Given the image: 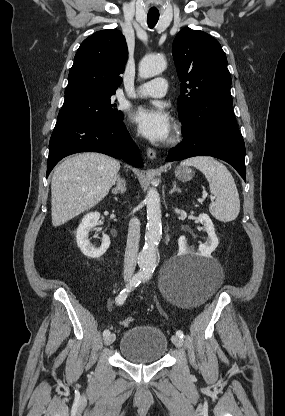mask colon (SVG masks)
I'll return each mask as SVG.
<instances>
[{
    "instance_id": "5ec220e1",
    "label": "colon",
    "mask_w": 285,
    "mask_h": 416,
    "mask_svg": "<svg viewBox=\"0 0 285 416\" xmlns=\"http://www.w3.org/2000/svg\"><path fill=\"white\" fill-rule=\"evenodd\" d=\"M133 321H134L133 318L126 317V318H124V319L121 320V324L124 327H129V326H131L133 324Z\"/></svg>"
}]
</instances>
